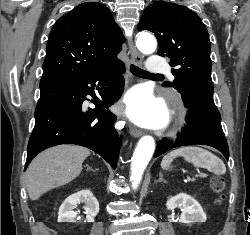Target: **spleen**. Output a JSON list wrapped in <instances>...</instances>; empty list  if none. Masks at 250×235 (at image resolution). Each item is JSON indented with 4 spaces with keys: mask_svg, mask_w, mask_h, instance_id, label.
I'll return each mask as SVG.
<instances>
[{
    "mask_svg": "<svg viewBox=\"0 0 250 235\" xmlns=\"http://www.w3.org/2000/svg\"><path fill=\"white\" fill-rule=\"evenodd\" d=\"M178 156L183 157L194 166L206 168L214 174L222 175L226 173L225 164L220 158L207 150L194 146L178 148L169 152L163 157L161 167L166 169Z\"/></svg>",
    "mask_w": 250,
    "mask_h": 235,
    "instance_id": "3e777b00",
    "label": "spleen"
}]
</instances>
